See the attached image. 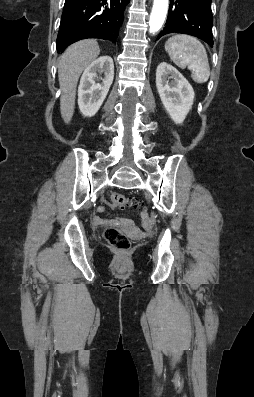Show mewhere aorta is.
I'll use <instances>...</instances> for the list:
<instances>
[{
  "label": "aorta",
  "instance_id": "1",
  "mask_svg": "<svg viewBox=\"0 0 254 397\" xmlns=\"http://www.w3.org/2000/svg\"><path fill=\"white\" fill-rule=\"evenodd\" d=\"M169 0H154L149 25L150 33H155L162 27L168 11Z\"/></svg>",
  "mask_w": 254,
  "mask_h": 397
}]
</instances>
